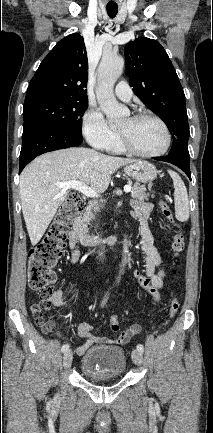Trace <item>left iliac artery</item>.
<instances>
[{
	"mask_svg": "<svg viewBox=\"0 0 213 433\" xmlns=\"http://www.w3.org/2000/svg\"><path fill=\"white\" fill-rule=\"evenodd\" d=\"M137 349H138L139 351H141V352L144 351V347H143L142 344H138V345H137Z\"/></svg>",
	"mask_w": 213,
	"mask_h": 433,
	"instance_id": "1",
	"label": "left iliac artery"
}]
</instances>
